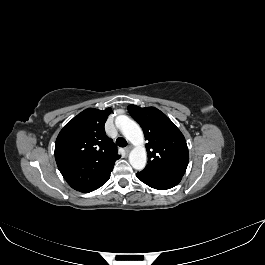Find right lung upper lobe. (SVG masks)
<instances>
[{
    "label": "right lung upper lobe",
    "mask_w": 265,
    "mask_h": 265,
    "mask_svg": "<svg viewBox=\"0 0 265 265\" xmlns=\"http://www.w3.org/2000/svg\"><path fill=\"white\" fill-rule=\"evenodd\" d=\"M110 113L111 108L86 109L69 121L56 139L57 166L77 191L86 192L107 178L121 157L105 134L104 124Z\"/></svg>",
    "instance_id": "1"
}]
</instances>
